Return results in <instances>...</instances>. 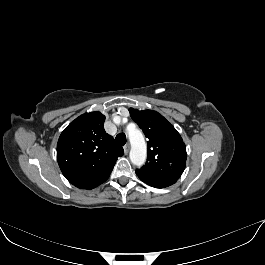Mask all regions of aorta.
Instances as JSON below:
<instances>
[{
  "label": "aorta",
  "instance_id": "762f6f07",
  "mask_svg": "<svg viewBox=\"0 0 265 265\" xmlns=\"http://www.w3.org/2000/svg\"><path fill=\"white\" fill-rule=\"evenodd\" d=\"M128 137L131 143L130 160L135 166H142L146 161L147 146L144 136L137 128L128 129Z\"/></svg>",
  "mask_w": 265,
  "mask_h": 265
}]
</instances>
